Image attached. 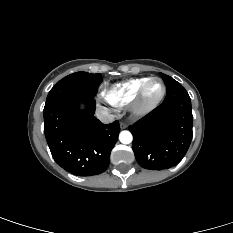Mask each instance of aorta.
<instances>
[{
    "label": "aorta",
    "instance_id": "762f6f07",
    "mask_svg": "<svg viewBox=\"0 0 233 233\" xmlns=\"http://www.w3.org/2000/svg\"><path fill=\"white\" fill-rule=\"evenodd\" d=\"M119 140L123 144H130L133 140V136H132L131 132L125 130L119 134Z\"/></svg>",
    "mask_w": 233,
    "mask_h": 233
}]
</instances>
